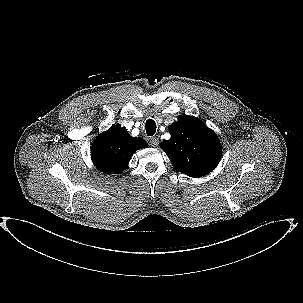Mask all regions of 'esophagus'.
I'll use <instances>...</instances> for the list:
<instances>
[{
  "instance_id": "esophagus-1",
  "label": "esophagus",
  "mask_w": 303,
  "mask_h": 303,
  "mask_svg": "<svg viewBox=\"0 0 303 303\" xmlns=\"http://www.w3.org/2000/svg\"><path fill=\"white\" fill-rule=\"evenodd\" d=\"M149 143L151 146L156 147L159 144V138L157 137H151L149 140Z\"/></svg>"
}]
</instances>
